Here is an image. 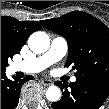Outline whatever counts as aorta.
Masks as SVG:
<instances>
[{
  "label": "aorta",
  "instance_id": "obj_1",
  "mask_svg": "<svg viewBox=\"0 0 109 109\" xmlns=\"http://www.w3.org/2000/svg\"><path fill=\"white\" fill-rule=\"evenodd\" d=\"M29 48L37 54L46 52L50 47V38L47 33L42 31L34 32L28 38ZM46 98L51 102H57L61 98V90L57 86H50L46 90Z\"/></svg>",
  "mask_w": 109,
  "mask_h": 109
}]
</instances>
